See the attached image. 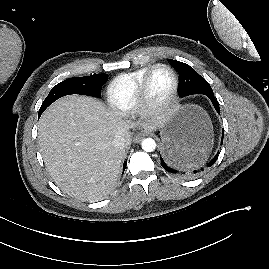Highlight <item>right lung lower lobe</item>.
I'll return each mask as SVG.
<instances>
[{"mask_svg":"<svg viewBox=\"0 0 269 269\" xmlns=\"http://www.w3.org/2000/svg\"><path fill=\"white\" fill-rule=\"evenodd\" d=\"M126 164H127V161L124 162L123 170H125Z\"/></svg>","mask_w":269,"mask_h":269,"instance_id":"obj_1","label":"right lung lower lobe"}]
</instances>
